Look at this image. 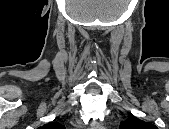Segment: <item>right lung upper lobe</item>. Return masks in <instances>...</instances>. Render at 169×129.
Segmentation results:
<instances>
[{
  "label": "right lung upper lobe",
  "mask_w": 169,
  "mask_h": 129,
  "mask_svg": "<svg viewBox=\"0 0 169 129\" xmlns=\"http://www.w3.org/2000/svg\"><path fill=\"white\" fill-rule=\"evenodd\" d=\"M42 128H44V129H62V128H64V126H62L61 124H59L57 122H50L48 124H45Z\"/></svg>",
  "instance_id": "obj_1"
}]
</instances>
